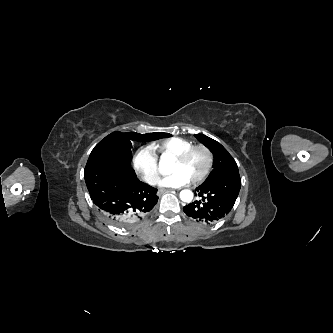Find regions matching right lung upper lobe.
<instances>
[{
  "mask_svg": "<svg viewBox=\"0 0 333 333\" xmlns=\"http://www.w3.org/2000/svg\"><path fill=\"white\" fill-rule=\"evenodd\" d=\"M152 135H159V134H164V133H151Z\"/></svg>",
  "mask_w": 333,
  "mask_h": 333,
  "instance_id": "right-lung-upper-lobe-1",
  "label": "right lung upper lobe"
}]
</instances>
